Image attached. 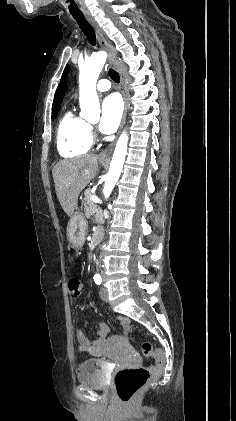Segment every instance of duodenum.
Listing matches in <instances>:
<instances>
[{
    "label": "duodenum",
    "mask_w": 236,
    "mask_h": 421,
    "mask_svg": "<svg viewBox=\"0 0 236 421\" xmlns=\"http://www.w3.org/2000/svg\"><path fill=\"white\" fill-rule=\"evenodd\" d=\"M102 237H103L102 229L97 228L93 234V239H92L93 246H96L101 241ZM128 328L129 326L126 323V332L123 339L126 338ZM99 335H100L99 340L91 344L89 343L88 339L84 335L81 334L80 341L83 345V349L84 350L88 349L91 353L97 356L104 355L107 351V341L105 340L106 332L100 331Z\"/></svg>",
    "instance_id": "obj_1"
}]
</instances>
